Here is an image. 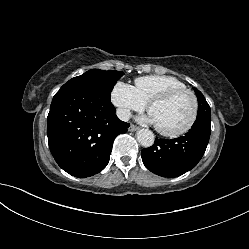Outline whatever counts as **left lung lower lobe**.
I'll return each mask as SVG.
<instances>
[{"label": "left lung lower lobe", "instance_id": "obj_1", "mask_svg": "<svg viewBox=\"0 0 249 249\" xmlns=\"http://www.w3.org/2000/svg\"><path fill=\"white\" fill-rule=\"evenodd\" d=\"M211 116L197 117L191 129L176 139H155L141 151L142 161L151 172L177 177L194 168L202 158L211 133Z\"/></svg>", "mask_w": 249, "mask_h": 249}]
</instances>
